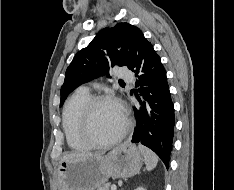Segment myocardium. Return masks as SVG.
Listing matches in <instances>:
<instances>
[{"instance_id":"1","label":"myocardium","mask_w":234,"mask_h":190,"mask_svg":"<svg viewBox=\"0 0 234 190\" xmlns=\"http://www.w3.org/2000/svg\"><path fill=\"white\" fill-rule=\"evenodd\" d=\"M104 102H112L118 105L124 115V126L123 128L112 138L99 141L94 138L91 132V121H92V116L95 108ZM131 128V119L124 107V105L114 96L108 95V94H102V95H96L92 96L88 99V101L85 103L82 112H81V117H80V132L83 137V139L91 146V147H97V148H102V147H108L111 145H114L121 141L126 134L129 132Z\"/></svg>"}]
</instances>
